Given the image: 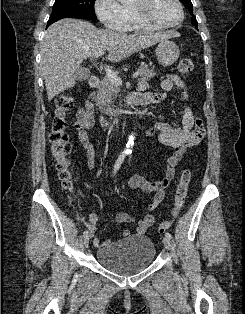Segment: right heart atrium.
Wrapping results in <instances>:
<instances>
[{"label": "right heart atrium", "mask_w": 245, "mask_h": 314, "mask_svg": "<svg viewBox=\"0 0 245 314\" xmlns=\"http://www.w3.org/2000/svg\"><path fill=\"white\" fill-rule=\"evenodd\" d=\"M94 9L98 19L108 29L122 31L125 27V7L118 0H95Z\"/></svg>", "instance_id": "right-heart-atrium-1"}]
</instances>
